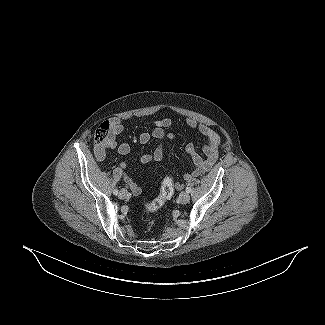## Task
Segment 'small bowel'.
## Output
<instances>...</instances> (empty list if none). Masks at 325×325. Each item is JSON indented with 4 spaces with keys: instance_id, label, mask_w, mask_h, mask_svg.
<instances>
[{
    "instance_id": "small-bowel-1",
    "label": "small bowel",
    "mask_w": 325,
    "mask_h": 325,
    "mask_svg": "<svg viewBox=\"0 0 325 325\" xmlns=\"http://www.w3.org/2000/svg\"><path fill=\"white\" fill-rule=\"evenodd\" d=\"M109 133L106 139L97 144L94 147V154L96 158L103 162L106 158V152L109 149H117L120 155H127L130 152V145L126 142L117 144V137L124 132V125L120 118H112L109 121ZM187 126L191 130H198L203 138V151L206 155L202 158L197 152L193 144H188L185 148V152L191 157L194 170L185 175L186 179L193 176H198L208 172L212 166L216 163L218 159V147L220 143L219 136L208 126L198 124L194 119L188 118L186 120ZM173 123L169 118H162L155 121V126L151 132H142L139 135V141L142 144H146L153 137L159 140V144L156 149L151 154H145L141 157V162L143 164H153L159 163L164 160L165 157V144L167 141L174 139V134L167 132V129L171 128ZM122 170H126L128 163L122 162L120 164ZM123 180L130 188L134 195H139L141 193V188L138 184L125 172L123 173Z\"/></svg>"
}]
</instances>
